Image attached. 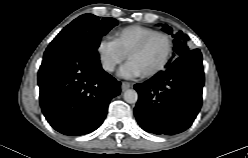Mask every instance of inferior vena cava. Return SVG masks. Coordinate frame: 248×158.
Here are the masks:
<instances>
[{
  "mask_svg": "<svg viewBox=\"0 0 248 158\" xmlns=\"http://www.w3.org/2000/svg\"><path fill=\"white\" fill-rule=\"evenodd\" d=\"M104 69L107 71H113L114 65L113 64H106V65H104Z\"/></svg>",
  "mask_w": 248,
  "mask_h": 158,
  "instance_id": "obj_1",
  "label": "inferior vena cava"
}]
</instances>
